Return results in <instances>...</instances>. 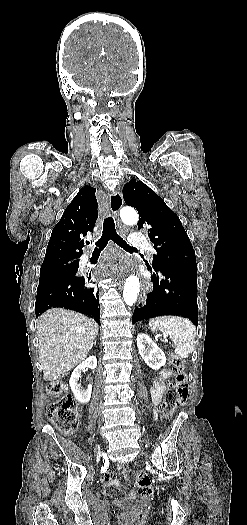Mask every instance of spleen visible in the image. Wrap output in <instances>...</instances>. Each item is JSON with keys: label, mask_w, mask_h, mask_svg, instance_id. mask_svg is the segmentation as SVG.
<instances>
[{"label": "spleen", "mask_w": 247, "mask_h": 525, "mask_svg": "<svg viewBox=\"0 0 247 525\" xmlns=\"http://www.w3.org/2000/svg\"><path fill=\"white\" fill-rule=\"evenodd\" d=\"M151 331L167 333L175 345V355L180 359H188L196 345V327L184 317H155L150 319Z\"/></svg>", "instance_id": "3e777b00"}]
</instances>
